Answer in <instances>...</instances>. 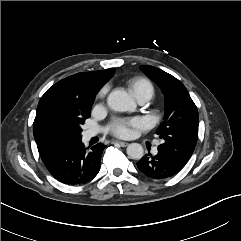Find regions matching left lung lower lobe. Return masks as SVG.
<instances>
[{"instance_id": "obj_1", "label": "left lung lower lobe", "mask_w": 241, "mask_h": 241, "mask_svg": "<svg viewBox=\"0 0 241 241\" xmlns=\"http://www.w3.org/2000/svg\"><path fill=\"white\" fill-rule=\"evenodd\" d=\"M137 166L143 174L157 180L172 177L184 167L161 151L154 156H143Z\"/></svg>"}]
</instances>
